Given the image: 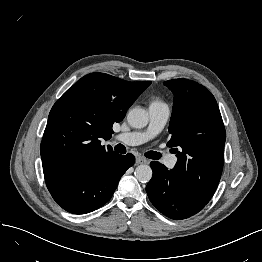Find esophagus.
Listing matches in <instances>:
<instances>
[{"label":"esophagus","instance_id":"34e87169","mask_svg":"<svg viewBox=\"0 0 262 262\" xmlns=\"http://www.w3.org/2000/svg\"><path fill=\"white\" fill-rule=\"evenodd\" d=\"M136 163L137 164H147L148 160L145 157L138 155L136 157Z\"/></svg>","mask_w":262,"mask_h":262}]
</instances>
